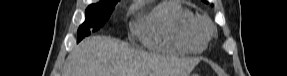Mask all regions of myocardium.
Here are the masks:
<instances>
[{
  "instance_id": "obj_1",
  "label": "myocardium",
  "mask_w": 287,
  "mask_h": 76,
  "mask_svg": "<svg viewBox=\"0 0 287 76\" xmlns=\"http://www.w3.org/2000/svg\"><path fill=\"white\" fill-rule=\"evenodd\" d=\"M198 32L206 40L212 35V25L206 18L198 19Z\"/></svg>"
}]
</instances>
